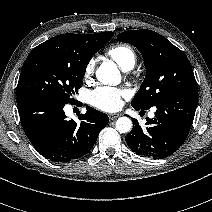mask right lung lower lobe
Segmentation results:
<instances>
[{"instance_id": "98d812e1", "label": "right lung lower lobe", "mask_w": 212, "mask_h": 212, "mask_svg": "<svg viewBox=\"0 0 212 212\" xmlns=\"http://www.w3.org/2000/svg\"><path fill=\"white\" fill-rule=\"evenodd\" d=\"M16 101L25 134L42 156L54 162L86 155L109 122L105 113L91 107L80 115V124L67 120L65 103L50 97L21 96Z\"/></svg>"}]
</instances>
